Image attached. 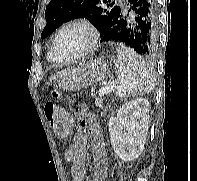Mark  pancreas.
I'll list each match as a JSON object with an SVG mask.
<instances>
[{
    "mask_svg": "<svg viewBox=\"0 0 197 181\" xmlns=\"http://www.w3.org/2000/svg\"><path fill=\"white\" fill-rule=\"evenodd\" d=\"M102 104H103L102 99H96V100H95V105H96L97 107H101Z\"/></svg>",
    "mask_w": 197,
    "mask_h": 181,
    "instance_id": "pancreas-1",
    "label": "pancreas"
}]
</instances>
